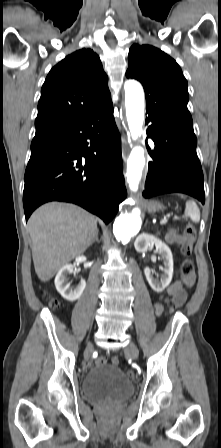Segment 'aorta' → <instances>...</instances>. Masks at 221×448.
Returning a JSON list of instances; mask_svg holds the SVG:
<instances>
[{
  "mask_svg": "<svg viewBox=\"0 0 221 448\" xmlns=\"http://www.w3.org/2000/svg\"><path fill=\"white\" fill-rule=\"evenodd\" d=\"M125 106L128 127L133 140H137L142 134L144 121V91L136 81L125 83ZM144 149L135 146L127 160L126 182L132 192H137L145 166ZM140 209L134 207L130 212L120 215L113 225L114 235L117 240L127 243L131 236L138 233L142 220Z\"/></svg>",
  "mask_w": 221,
  "mask_h": 448,
  "instance_id": "aorta-1",
  "label": "aorta"
}]
</instances>
